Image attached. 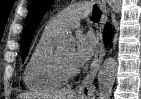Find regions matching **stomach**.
I'll return each instance as SVG.
<instances>
[{"label":"stomach","instance_id":"1","mask_svg":"<svg viewBox=\"0 0 141 99\" xmlns=\"http://www.w3.org/2000/svg\"><path fill=\"white\" fill-rule=\"evenodd\" d=\"M78 99H86V98H84V97H79Z\"/></svg>","mask_w":141,"mask_h":99}]
</instances>
